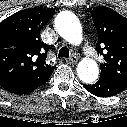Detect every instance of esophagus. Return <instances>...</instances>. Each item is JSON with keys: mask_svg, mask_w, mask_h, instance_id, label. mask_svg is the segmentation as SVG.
<instances>
[{"mask_svg": "<svg viewBox=\"0 0 127 127\" xmlns=\"http://www.w3.org/2000/svg\"><path fill=\"white\" fill-rule=\"evenodd\" d=\"M66 62L69 64H76L78 62V57L77 56H72L68 59H66Z\"/></svg>", "mask_w": 127, "mask_h": 127, "instance_id": "obj_1", "label": "esophagus"}]
</instances>
